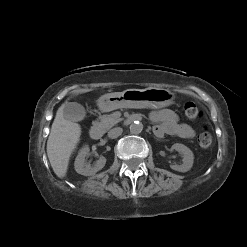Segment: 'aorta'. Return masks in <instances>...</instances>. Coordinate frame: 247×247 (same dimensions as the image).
<instances>
[{"label":"aorta","instance_id":"1","mask_svg":"<svg viewBox=\"0 0 247 247\" xmlns=\"http://www.w3.org/2000/svg\"><path fill=\"white\" fill-rule=\"evenodd\" d=\"M129 129H130V133H131V134H139V133H141L142 130H143V125H142V123H140L139 121H134V122L130 125Z\"/></svg>","mask_w":247,"mask_h":247}]
</instances>
